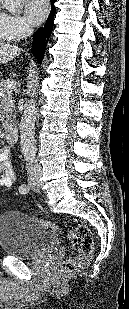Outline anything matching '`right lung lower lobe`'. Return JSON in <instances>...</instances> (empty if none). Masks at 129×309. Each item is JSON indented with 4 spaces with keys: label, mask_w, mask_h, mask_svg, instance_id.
I'll list each match as a JSON object with an SVG mask.
<instances>
[{
    "label": "right lung lower lobe",
    "mask_w": 129,
    "mask_h": 309,
    "mask_svg": "<svg viewBox=\"0 0 129 309\" xmlns=\"http://www.w3.org/2000/svg\"><path fill=\"white\" fill-rule=\"evenodd\" d=\"M56 0H51V6H52V11H51V16L49 17L45 28L44 29H39L33 38V53L34 55L38 58L39 62L41 61V56L43 54V49H44V41L47 37V33H50L51 27H52V16L55 12V7L54 3Z\"/></svg>",
    "instance_id": "obj_1"
}]
</instances>
